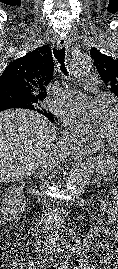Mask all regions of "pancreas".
Masks as SVG:
<instances>
[{"label": "pancreas", "instance_id": "pancreas-1", "mask_svg": "<svg viewBox=\"0 0 118 269\" xmlns=\"http://www.w3.org/2000/svg\"><path fill=\"white\" fill-rule=\"evenodd\" d=\"M115 178L114 177H99V182L104 183V182H114Z\"/></svg>", "mask_w": 118, "mask_h": 269}]
</instances>
